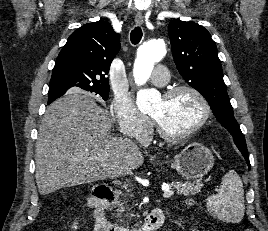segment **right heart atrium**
I'll return each mask as SVG.
<instances>
[{
  "instance_id": "obj_1",
  "label": "right heart atrium",
  "mask_w": 268,
  "mask_h": 231,
  "mask_svg": "<svg viewBox=\"0 0 268 231\" xmlns=\"http://www.w3.org/2000/svg\"><path fill=\"white\" fill-rule=\"evenodd\" d=\"M110 112L117 129L124 136L132 138L139 144H145L153 131L151 120L141 113L129 94L113 97Z\"/></svg>"
}]
</instances>
